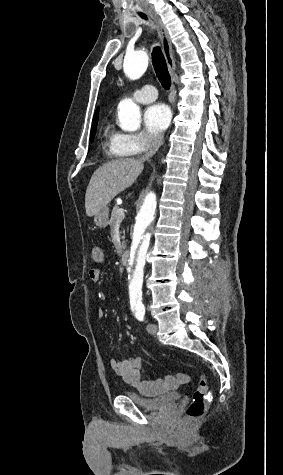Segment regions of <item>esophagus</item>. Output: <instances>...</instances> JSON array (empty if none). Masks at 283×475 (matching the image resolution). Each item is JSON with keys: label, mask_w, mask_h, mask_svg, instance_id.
Listing matches in <instances>:
<instances>
[{"label": "esophagus", "mask_w": 283, "mask_h": 475, "mask_svg": "<svg viewBox=\"0 0 283 475\" xmlns=\"http://www.w3.org/2000/svg\"><path fill=\"white\" fill-rule=\"evenodd\" d=\"M147 13L154 20V22L156 24L157 32H158V35H159V38L161 40L162 47H163L164 57H165V60H166L167 66H168V70L171 74L172 81H173L172 86H171V92H172L173 95H175V93H176L175 85H174L175 61H174L173 54H172V45H171V40H170V37H169L168 30L165 27V25H163L162 21L160 20V18L158 17V15L156 13H154L151 10H147ZM171 100L174 101L175 98L172 97Z\"/></svg>", "instance_id": "1"}]
</instances>
